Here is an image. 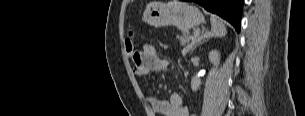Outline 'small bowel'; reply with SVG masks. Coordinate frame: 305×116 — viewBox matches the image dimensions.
Returning a JSON list of instances; mask_svg holds the SVG:
<instances>
[{
    "label": "small bowel",
    "instance_id": "1",
    "mask_svg": "<svg viewBox=\"0 0 305 116\" xmlns=\"http://www.w3.org/2000/svg\"><path fill=\"white\" fill-rule=\"evenodd\" d=\"M169 61L160 58L152 44H145L134 59L133 73L142 78L150 72L160 73L167 69ZM146 101L153 114L163 116H192L179 93H172L168 100H161L147 95Z\"/></svg>",
    "mask_w": 305,
    "mask_h": 116
}]
</instances>
